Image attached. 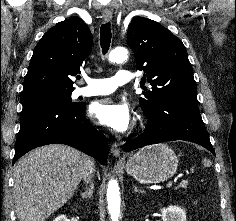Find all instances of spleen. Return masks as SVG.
Masks as SVG:
<instances>
[{
	"label": "spleen",
	"instance_id": "1",
	"mask_svg": "<svg viewBox=\"0 0 236 221\" xmlns=\"http://www.w3.org/2000/svg\"><path fill=\"white\" fill-rule=\"evenodd\" d=\"M204 164H205L206 166H210V165H211V162H210L209 160H207V159H204Z\"/></svg>",
	"mask_w": 236,
	"mask_h": 221
}]
</instances>
